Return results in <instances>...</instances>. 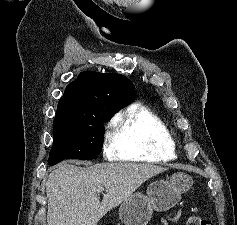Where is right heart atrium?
Wrapping results in <instances>:
<instances>
[{
	"label": "right heart atrium",
	"instance_id": "right-heart-atrium-1",
	"mask_svg": "<svg viewBox=\"0 0 237 225\" xmlns=\"http://www.w3.org/2000/svg\"><path fill=\"white\" fill-rule=\"evenodd\" d=\"M103 152L107 158H113L115 152V136L113 122L107 124L103 135Z\"/></svg>",
	"mask_w": 237,
	"mask_h": 225
}]
</instances>
